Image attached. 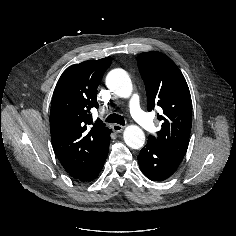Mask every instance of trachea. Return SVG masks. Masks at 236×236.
Returning a JSON list of instances; mask_svg holds the SVG:
<instances>
[{
  "label": "trachea",
  "instance_id": "1",
  "mask_svg": "<svg viewBox=\"0 0 236 236\" xmlns=\"http://www.w3.org/2000/svg\"><path fill=\"white\" fill-rule=\"evenodd\" d=\"M105 121L108 122V123H117V124H120V125H125L124 117L119 115V114H116V113L110 114L106 118Z\"/></svg>",
  "mask_w": 236,
  "mask_h": 236
}]
</instances>
